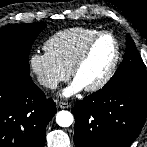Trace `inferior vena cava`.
<instances>
[{"mask_svg": "<svg viewBox=\"0 0 147 147\" xmlns=\"http://www.w3.org/2000/svg\"><path fill=\"white\" fill-rule=\"evenodd\" d=\"M39 82L41 85L48 87L50 89H56L57 88V82L52 81L50 79L40 78Z\"/></svg>", "mask_w": 147, "mask_h": 147, "instance_id": "1", "label": "inferior vena cava"}]
</instances>
